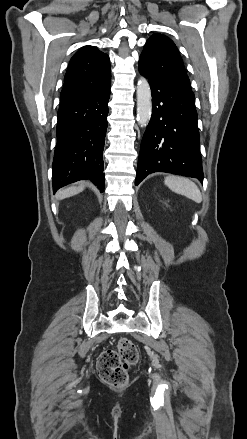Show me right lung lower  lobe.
<instances>
[{"label":"right lung lower lobe","mask_w":247,"mask_h":439,"mask_svg":"<svg viewBox=\"0 0 247 439\" xmlns=\"http://www.w3.org/2000/svg\"><path fill=\"white\" fill-rule=\"evenodd\" d=\"M110 84L101 90L60 102L52 167L54 193L82 179H90L100 191L104 190L102 154Z\"/></svg>","instance_id":"right-lung-lower-lobe-1"}]
</instances>
